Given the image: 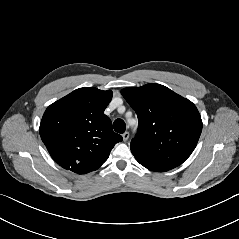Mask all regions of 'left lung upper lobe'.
<instances>
[{"mask_svg":"<svg viewBox=\"0 0 239 239\" xmlns=\"http://www.w3.org/2000/svg\"><path fill=\"white\" fill-rule=\"evenodd\" d=\"M121 93L138 116V131L130 146L136 160L157 172L181 165L202 131L196 106L160 84L127 87Z\"/></svg>","mask_w":239,"mask_h":239,"instance_id":"obj_1","label":"left lung upper lobe"}]
</instances>
